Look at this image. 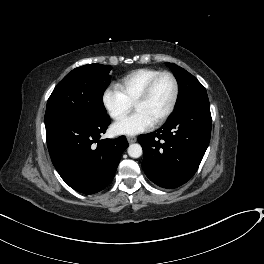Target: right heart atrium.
Returning <instances> with one entry per match:
<instances>
[{
    "label": "right heart atrium",
    "instance_id": "obj_1",
    "mask_svg": "<svg viewBox=\"0 0 264 264\" xmlns=\"http://www.w3.org/2000/svg\"><path fill=\"white\" fill-rule=\"evenodd\" d=\"M102 102L109 115L114 120L122 119L132 108V103L121 91V89L116 86L109 87L105 90Z\"/></svg>",
    "mask_w": 264,
    "mask_h": 264
}]
</instances>
